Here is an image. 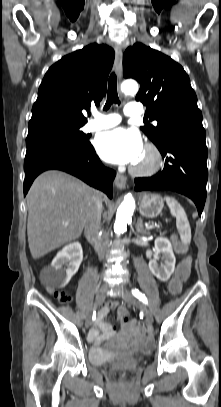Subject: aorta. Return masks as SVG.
I'll return each mask as SVG.
<instances>
[{
    "label": "aorta",
    "mask_w": 221,
    "mask_h": 407,
    "mask_svg": "<svg viewBox=\"0 0 221 407\" xmlns=\"http://www.w3.org/2000/svg\"><path fill=\"white\" fill-rule=\"evenodd\" d=\"M138 89V84L133 80H127L121 84V90L125 94L134 95L138 92ZM134 209L135 199L131 193H128L117 210L114 223V232L116 234L124 233L127 230V223L131 220Z\"/></svg>",
    "instance_id": "aorta-1"
}]
</instances>
